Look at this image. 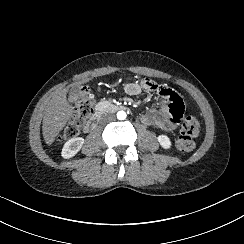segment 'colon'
Masks as SVG:
<instances>
[{
  "mask_svg": "<svg viewBox=\"0 0 244 244\" xmlns=\"http://www.w3.org/2000/svg\"><path fill=\"white\" fill-rule=\"evenodd\" d=\"M84 98L77 99L74 106L75 112L67 122L64 132L66 135H76L85 119L91 114L93 100L87 88L84 89ZM200 131V124L193 116H186L179 129V136L176 140L177 147L183 152H191L195 148V138Z\"/></svg>",
  "mask_w": 244,
  "mask_h": 244,
  "instance_id": "5ec220e1",
  "label": "colon"
}]
</instances>
